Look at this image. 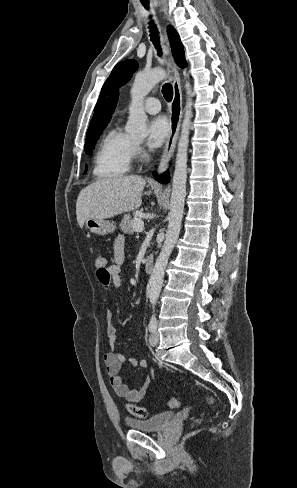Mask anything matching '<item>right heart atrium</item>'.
<instances>
[{
  "label": "right heart atrium",
  "mask_w": 297,
  "mask_h": 488,
  "mask_svg": "<svg viewBox=\"0 0 297 488\" xmlns=\"http://www.w3.org/2000/svg\"><path fill=\"white\" fill-rule=\"evenodd\" d=\"M132 151H133V155L140 153L142 151L141 146L138 143L133 142L132 143Z\"/></svg>",
  "instance_id": "obj_1"
}]
</instances>
